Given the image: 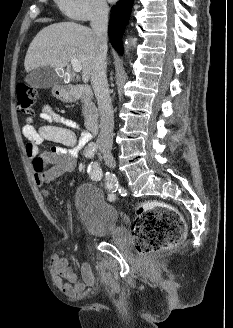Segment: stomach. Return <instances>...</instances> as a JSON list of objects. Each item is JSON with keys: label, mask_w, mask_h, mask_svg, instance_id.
Returning a JSON list of instances; mask_svg holds the SVG:
<instances>
[{"label": "stomach", "mask_w": 233, "mask_h": 328, "mask_svg": "<svg viewBox=\"0 0 233 328\" xmlns=\"http://www.w3.org/2000/svg\"><path fill=\"white\" fill-rule=\"evenodd\" d=\"M55 95H56V97H60V96H59V95H57V94H55ZM63 98H66V99H67V98H68V96H65V95H64V96H63Z\"/></svg>", "instance_id": "obj_1"}]
</instances>
